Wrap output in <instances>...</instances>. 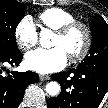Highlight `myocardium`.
I'll use <instances>...</instances> for the list:
<instances>
[{"label": "myocardium", "mask_w": 108, "mask_h": 108, "mask_svg": "<svg viewBox=\"0 0 108 108\" xmlns=\"http://www.w3.org/2000/svg\"><path fill=\"white\" fill-rule=\"evenodd\" d=\"M81 30L84 35V44L81 48V50L71 56H69V60L72 63H77L82 61L87 54L89 53L92 45V33L89 26L81 21H72L59 29L55 30V34H57L60 37H66L70 33H72L75 30Z\"/></svg>", "instance_id": "myocardium-1"}]
</instances>
